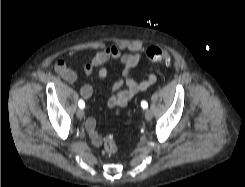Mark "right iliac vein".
Listing matches in <instances>:
<instances>
[{
  "instance_id": "right-iliac-vein-1",
  "label": "right iliac vein",
  "mask_w": 245,
  "mask_h": 187,
  "mask_svg": "<svg viewBox=\"0 0 245 187\" xmlns=\"http://www.w3.org/2000/svg\"><path fill=\"white\" fill-rule=\"evenodd\" d=\"M76 115H77V117H78L79 119H82V118L84 117V115H85L84 110H83V109H79V110L77 111Z\"/></svg>"
}]
</instances>
